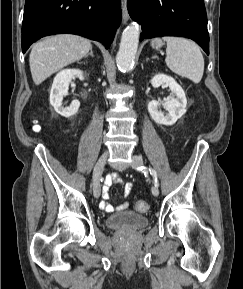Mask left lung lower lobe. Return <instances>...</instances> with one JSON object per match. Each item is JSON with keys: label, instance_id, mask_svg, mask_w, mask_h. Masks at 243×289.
<instances>
[{"label": "left lung lower lobe", "instance_id": "obj_1", "mask_svg": "<svg viewBox=\"0 0 243 289\" xmlns=\"http://www.w3.org/2000/svg\"><path fill=\"white\" fill-rule=\"evenodd\" d=\"M127 8L131 18L142 25L140 40L183 36L196 41L209 55L203 0H128Z\"/></svg>", "mask_w": 243, "mask_h": 289}]
</instances>
